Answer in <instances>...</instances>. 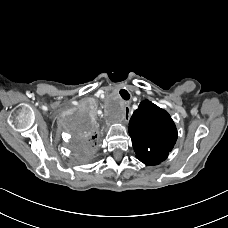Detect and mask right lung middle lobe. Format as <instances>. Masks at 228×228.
Masks as SVG:
<instances>
[{"instance_id":"1","label":"right lung middle lobe","mask_w":228,"mask_h":228,"mask_svg":"<svg viewBox=\"0 0 228 228\" xmlns=\"http://www.w3.org/2000/svg\"><path fill=\"white\" fill-rule=\"evenodd\" d=\"M92 120H87L84 118H78L75 127L72 128L76 143L80 146H86L88 144V137L90 135V127L92 126Z\"/></svg>"}]
</instances>
